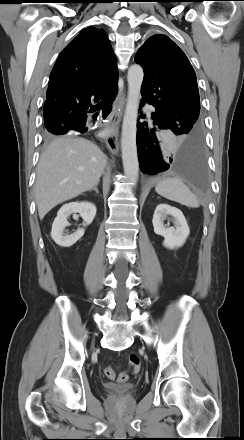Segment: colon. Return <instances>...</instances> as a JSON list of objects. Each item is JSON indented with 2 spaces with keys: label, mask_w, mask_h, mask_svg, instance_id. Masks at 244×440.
I'll return each mask as SVG.
<instances>
[{
  "label": "colon",
  "mask_w": 244,
  "mask_h": 440,
  "mask_svg": "<svg viewBox=\"0 0 244 440\" xmlns=\"http://www.w3.org/2000/svg\"><path fill=\"white\" fill-rule=\"evenodd\" d=\"M129 363L133 368L134 372H138L140 370L141 361L137 354H131L129 356ZM104 374L110 380H114L116 378L115 370L110 366L105 368ZM116 379L118 383L123 384L128 380V374L126 372H122L117 376Z\"/></svg>",
  "instance_id": "5ec220e1"
}]
</instances>
